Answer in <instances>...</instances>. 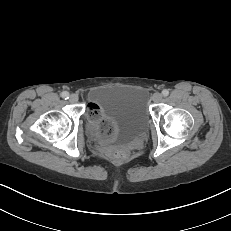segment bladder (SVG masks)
Segmentation results:
<instances>
[{
    "instance_id": "31cf9c89",
    "label": "bladder",
    "mask_w": 231,
    "mask_h": 231,
    "mask_svg": "<svg viewBox=\"0 0 231 231\" xmlns=\"http://www.w3.org/2000/svg\"><path fill=\"white\" fill-rule=\"evenodd\" d=\"M90 105L98 113L90 115L88 131L96 138L104 135L121 143L142 138L148 131V94L135 86L105 88L92 93ZM103 124L109 126L105 130Z\"/></svg>"
}]
</instances>
